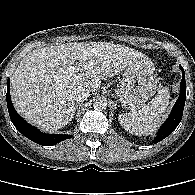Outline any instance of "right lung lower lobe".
<instances>
[{"label": "right lung lower lobe", "instance_id": "1", "mask_svg": "<svg viewBox=\"0 0 195 195\" xmlns=\"http://www.w3.org/2000/svg\"><path fill=\"white\" fill-rule=\"evenodd\" d=\"M9 79H8V88H7V94H6V99H7V106H8V111L10 115V119L16 129L22 133L25 137L28 139L43 145V146H51L54 144H57L61 141H64L65 139L72 138V135H60V134H45L40 132L36 127L28 124L25 122L15 111L11 98H10V91H9Z\"/></svg>", "mask_w": 195, "mask_h": 195}]
</instances>
